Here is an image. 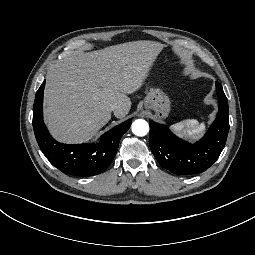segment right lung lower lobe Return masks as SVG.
Segmentation results:
<instances>
[{
  "mask_svg": "<svg viewBox=\"0 0 255 255\" xmlns=\"http://www.w3.org/2000/svg\"><path fill=\"white\" fill-rule=\"evenodd\" d=\"M45 81L38 89L33 107V128L41 151L52 165L74 176H93L110 165L118 150L122 135L129 129L131 119L105 133L98 144L67 145L54 140L43 122V91Z\"/></svg>",
  "mask_w": 255,
  "mask_h": 255,
  "instance_id": "obj_1",
  "label": "right lung lower lobe"
}]
</instances>
